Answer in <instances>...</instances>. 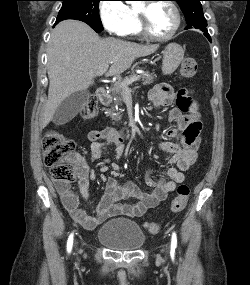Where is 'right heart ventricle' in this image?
<instances>
[{
  "label": "right heart ventricle",
  "instance_id": "1",
  "mask_svg": "<svg viewBox=\"0 0 250 285\" xmlns=\"http://www.w3.org/2000/svg\"><path fill=\"white\" fill-rule=\"evenodd\" d=\"M130 11H131L132 19H131L130 26L125 34L138 36L141 34V32H140L136 8H131Z\"/></svg>",
  "mask_w": 250,
  "mask_h": 285
}]
</instances>
